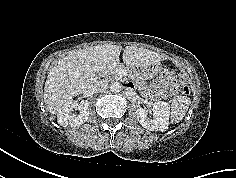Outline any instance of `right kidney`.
Wrapping results in <instances>:
<instances>
[{"label": "right kidney", "instance_id": "ca27d5eb", "mask_svg": "<svg viewBox=\"0 0 236 178\" xmlns=\"http://www.w3.org/2000/svg\"><path fill=\"white\" fill-rule=\"evenodd\" d=\"M89 105L88 100H70L68 101L58 113V123L63 127H79L85 123L89 118ZM79 110V114H72L71 111Z\"/></svg>", "mask_w": 236, "mask_h": 178}]
</instances>
